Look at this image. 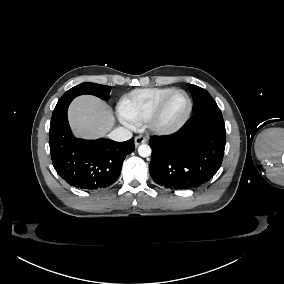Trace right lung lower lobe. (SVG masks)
<instances>
[{
	"instance_id": "obj_1",
	"label": "right lung lower lobe",
	"mask_w": 284,
	"mask_h": 284,
	"mask_svg": "<svg viewBox=\"0 0 284 284\" xmlns=\"http://www.w3.org/2000/svg\"><path fill=\"white\" fill-rule=\"evenodd\" d=\"M71 101L57 103L52 114L49 145L53 166L68 184L76 188H106L118 179L126 155L134 151V139L115 142L104 138H75L67 119Z\"/></svg>"
}]
</instances>
